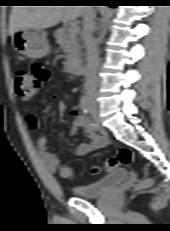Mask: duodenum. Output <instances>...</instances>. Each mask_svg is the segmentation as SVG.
Segmentation results:
<instances>
[{
	"label": "duodenum",
	"mask_w": 170,
	"mask_h": 231,
	"mask_svg": "<svg viewBox=\"0 0 170 231\" xmlns=\"http://www.w3.org/2000/svg\"><path fill=\"white\" fill-rule=\"evenodd\" d=\"M76 72L80 75H84L86 73V67L83 65H79L76 69Z\"/></svg>",
	"instance_id": "obj_1"
}]
</instances>
